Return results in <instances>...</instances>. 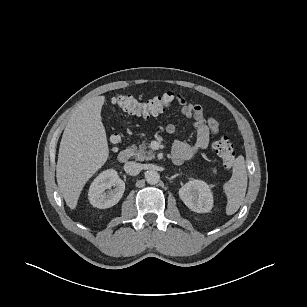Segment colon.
<instances>
[{
    "mask_svg": "<svg viewBox=\"0 0 307 307\" xmlns=\"http://www.w3.org/2000/svg\"><path fill=\"white\" fill-rule=\"evenodd\" d=\"M173 100L174 97L170 92L147 101H139L130 94L122 93L113 97L111 102L128 113L149 116L159 114L170 106ZM110 141L116 147L120 141L119 135L112 133ZM214 149L226 168H230L234 164L235 151L227 136H221L214 143Z\"/></svg>",
    "mask_w": 307,
    "mask_h": 307,
    "instance_id": "5ec220e1",
    "label": "colon"
}]
</instances>
